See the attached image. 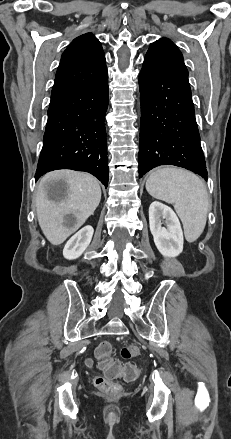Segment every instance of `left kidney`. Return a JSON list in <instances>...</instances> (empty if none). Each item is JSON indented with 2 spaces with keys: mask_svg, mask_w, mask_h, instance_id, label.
<instances>
[{
  "mask_svg": "<svg viewBox=\"0 0 231 439\" xmlns=\"http://www.w3.org/2000/svg\"><path fill=\"white\" fill-rule=\"evenodd\" d=\"M161 219L166 227H162ZM149 225L158 251L165 257H177L183 251V232L175 212L154 201L149 207Z\"/></svg>",
  "mask_w": 231,
  "mask_h": 439,
  "instance_id": "5707ae66",
  "label": "left kidney"
}]
</instances>
